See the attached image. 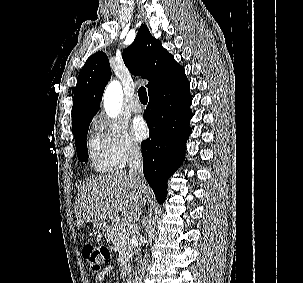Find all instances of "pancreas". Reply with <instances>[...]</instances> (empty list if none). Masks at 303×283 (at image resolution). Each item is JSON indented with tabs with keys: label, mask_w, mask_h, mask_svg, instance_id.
Returning <instances> with one entry per match:
<instances>
[{
	"label": "pancreas",
	"mask_w": 303,
	"mask_h": 283,
	"mask_svg": "<svg viewBox=\"0 0 303 283\" xmlns=\"http://www.w3.org/2000/svg\"><path fill=\"white\" fill-rule=\"evenodd\" d=\"M132 232L128 226L122 223H115L109 230L107 238L114 243L119 253L120 266H125L133 255V247L131 246Z\"/></svg>",
	"instance_id": "obj_1"
}]
</instances>
